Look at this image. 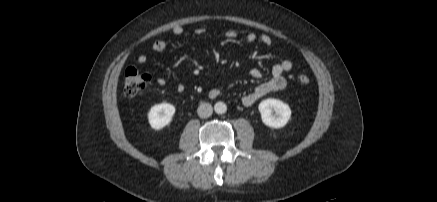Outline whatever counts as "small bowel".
Here are the masks:
<instances>
[{
	"mask_svg": "<svg viewBox=\"0 0 437 202\" xmlns=\"http://www.w3.org/2000/svg\"><path fill=\"white\" fill-rule=\"evenodd\" d=\"M171 31L172 34L175 36H181L184 34V29L181 26H175L172 28ZM205 32L206 29L204 27H199L195 29L194 34L200 36L203 35ZM223 37L226 39H236L238 37V32L235 30H228L223 33ZM257 40L260 41L265 46L272 45V38L267 34H262L260 36H257L255 33H248L246 35V41L249 43H254ZM167 47H168V41L161 39L153 42V44L151 45V50L153 52L159 53L165 51ZM146 61H147V56L144 54H141L137 57V62L139 64H144ZM291 69H292V63L288 59H283L277 64H275L271 70V77L267 81L258 85L253 91L245 94L242 97L243 105L246 107L252 106L260 98L264 97L268 93L283 90L287 85V81L284 75ZM250 75L253 78H260L262 76V72L259 69L254 68L250 71ZM157 83L160 86H165L166 80L164 78H158ZM176 90L179 93L183 92L184 85L180 83L177 84ZM211 93L213 95H216L217 91L213 90Z\"/></svg>",
	"mask_w": 437,
	"mask_h": 202,
	"instance_id": "obj_1",
	"label": "small bowel"
}]
</instances>
